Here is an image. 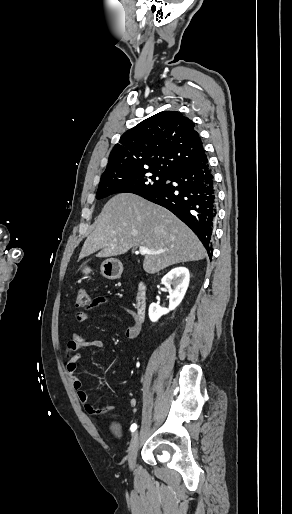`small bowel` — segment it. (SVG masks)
I'll list each match as a JSON object with an SVG mask.
<instances>
[{
    "label": "small bowel",
    "instance_id": "small-bowel-1",
    "mask_svg": "<svg viewBox=\"0 0 292 514\" xmlns=\"http://www.w3.org/2000/svg\"><path fill=\"white\" fill-rule=\"evenodd\" d=\"M109 304H110V301L106 297L96 296L91 300L89 309L94 310V309H97L100 307L108 306ZM122 309L126 313H128L134 321V323L132 325L127 326L125 328V335L127 338H129L131 340H136L139 337L140 332H141V324L138 323L136 320L135 311H133L131 308H129L127 306H122ZM88 316H89L88 311L77 312L75 314V321L83 322L88 318ZM87 348H95V349L104 350L105 344L102 341L97 340V339L87 340L81 336V334L79 333V331L76 328H73L70 332L69 340L67 341L66 347H65V353L68 357L67 362H66V372L68 374V378H69L72 388L77 392V396H78L80 402H82L84 404L83 410L85 412H88V415L90 417H93L95 415L93 408L96 409L97 413L101 412L102 414H106L109 409H111L112 411H115L117 409V406L115 404H112L111 406L106 405L105 407L99 406V408H97V406L93 407V404L88 402V394L84 390H82L81 380L74 375L75 371L77 370L78 361L81 358V354L79 353V351L82 349H87ZM128 396H129L128 400L130 401V404L132 406H135L137 404V401L135 400L133 393L129 392Z\"/></svg>",
    "mask_w": 292,
    "mask_h": 514
}]
</instances>
